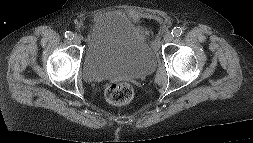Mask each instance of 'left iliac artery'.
<instances>
[{
	"mask_svg": "<svg viewBox=\"0 0 253 143\" xmlns=\"http://www.w3.org/2000/svg\"><path fill=\"white\" fill-rule=\"evenodd\" d=\"M182 33H183V29L181 27H175L171 32L173 37H179L182 35Z\"/></svg>",
	"mask_w": 253,
	"mask_h": 143,
	"instance_id": "left-iliac-artery-1",
	"label": "left iliac artery"
}]
</instances>
